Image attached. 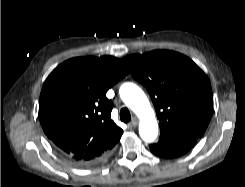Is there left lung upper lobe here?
<instances>
[{
  "label": "left lung upper lobe",
  "mask_w": 245,
  "mask_h": 187,
  "mask_svg": "<svg viewBox=\"0 0 245 187\" xmlns=\"http://www.w3.org/2000/svg\"><path fill=\"white\" fill-rule=\"evenodd\" d=\"M131 75L148 90L160 126V138L202 137L213 110L204 72L188 57L155 50L124 58Z\"/></svg>",
  "instance_id": "1"
}]
</instances>
